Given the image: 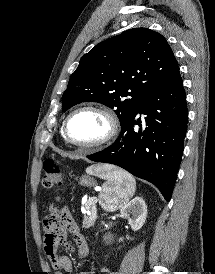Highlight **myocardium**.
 I'll use <instances>...</instances> for the list:
<instances>
[{
	"label": "myocardium",
	"mask_w": 215,
	"mask_h": 274,
	"mask_svg": "<svg viewBox=\"0 0 215 274\" xmlns=\"http://www.w3.org/2000/svg\"><path fill=\"white\" fill-rule=\"evenodd\" d=\"M82 111H93L102 115L106 119L108 124V130H107V133L101 139L92 143L84 144V143H78L70 137L69 131H68L69 122L73 118V116H75L77 113ZM119 130H120L119 120L116 114L112 110L104 106L88 104V105L80 106L68 114V116L66 117L63 123L62 134L64 139L69 144L82 149L94 150V149L102 148L108 145L109 143H111L117 137Z\"/></svg>",
	"instance_id": "1"
}]
</instances>
